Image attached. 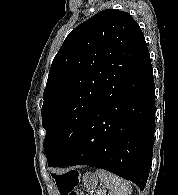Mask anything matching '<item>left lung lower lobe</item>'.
<instances>
[{"label": "left lung lower lobe", "instance_id": "1", "mask_svg": "<svg viewBox=\"0 0 178 195\" xmlns=\"http://www.w3.org/2000/svg\"><path fill=\"white\" fill-rule=\"evenodd\" d=\"M155 85L148 58L97 107L75 144L54 167L88 165L145 188L153 154Z\"/></svg>", "mask_w": 178, "mask_h": 195}]
</instances>
